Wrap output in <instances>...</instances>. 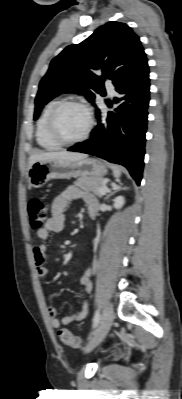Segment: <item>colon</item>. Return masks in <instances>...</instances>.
Listing matches in <instances>:
<instances>
[{"instance_id":"1","label":"colon","mask_w":182,"mask_h":399,"mask_svg":"<svg viewBox=\"0 0 182 399\" xmlns=\"http://www.w3.org/2000/svg\"><path fill=\"white\" fill-rule=\"evenodd\" d=\"M29 223L32 229H41L48 219V208L46 204L39 198H32L27 206ZM60 340L67 346L72 348H81L82 341L68 329H60Z\"/></svg>"}]
</instances>
